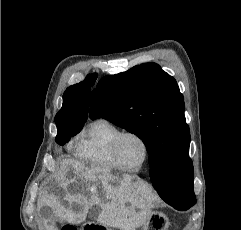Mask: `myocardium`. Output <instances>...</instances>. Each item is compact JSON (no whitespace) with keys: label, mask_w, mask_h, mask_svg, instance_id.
Here are the masks:
<instances>
[{"label":"myocardium","mask_w":241,"mask_h":230,"mask_svg":"<svg viewBox=\"0 0 241 230\" xmlns=\"http://www.w3.org/2000/svg\"><path fill=\"white\" fill-rule=\"evenodd\" d=\"M127 136H133V137L137 138L144 147V152H145L144 159L137 167H129V166L125 165L120 159V154H119L120 145H121L123 139ZM112 154H113L114 160L119 168H121L123 170H127V171H138L147 163V161L150 157V148H149V145H148L146 139L141 134H139L135 131H132V130H125V131H121L115 137L113 144H112Z\"/></svg>","instance_id":"f54148a6"}]
</instances>
